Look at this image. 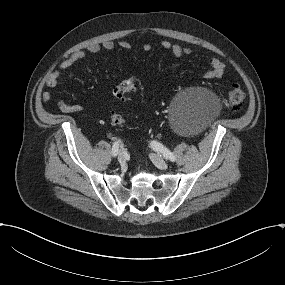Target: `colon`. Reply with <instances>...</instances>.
<instances>
[{"label": "colon", "instance_id": "colon-1", "mask_svg": "<svg viewBox=\"0 0 285 285\" xmlns=\"http://www.w3.org/2000/svg\"><path fill=\"white\" fill-rule=\"evenodd\" d=\"M136 88L135 81L133 79H127L122 81L119 85H117L113 91V95L115 98L119 100H125L126 96L134 91ZM245 98V94L242 89L236 87L232 89L223 100L224 106L231 111H237L241 108L243 101ZM125 120L122 114L116 112L111 116V124L114 127L123 126Z\"/></svg>", "mask_w": 285, "mask_h": 285}]
</instances>
